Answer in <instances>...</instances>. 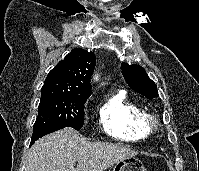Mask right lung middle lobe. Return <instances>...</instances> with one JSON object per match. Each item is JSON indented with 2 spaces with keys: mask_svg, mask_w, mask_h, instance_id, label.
I'll return each instance as SVG.
<instances>
[{
  "mask_svg": "<svg viewBox=\"0 0 199 171\" xmlns=\"http://www.w3.org/2000/svg\"><path fill=\"white\" fill-rule=\"evenodd\" d=\"M86 100L87 98L42 91L33 132L48 126L72 127L79 130L84 123Z\"/></svg>",
  "mask_w": 199,
  "mask_h": 171,
  "instance_id": "obj_1",
  "label": "right lung middle lobe"
}]
</instances>
